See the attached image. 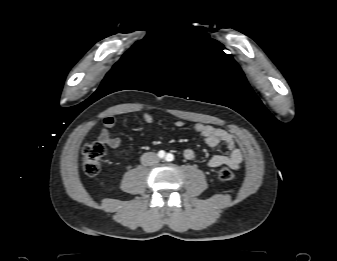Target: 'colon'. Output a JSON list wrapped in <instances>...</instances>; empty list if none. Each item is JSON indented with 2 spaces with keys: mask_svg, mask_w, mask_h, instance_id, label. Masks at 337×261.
Returning <instances> with one entry per match:
<instances>
[{
  "mask_svg": "<svg viewBox=\"0 0 337 261\" xmlns=\"http://www.w3.org/2000/svg\"><path fill=\"white\" fill-rule=\"evenodd\" d=\"M106 154V147L102 141H95L84 146L82 151L83 170L88 176H95L101 169L102 159ZM218 178L222 181L233 179V171L227 167L218 170Z\"/></svg>",
  "mask_w": 337,
  "mask_h": 261,
  "instance_id": "1",
  "label": "colon"
}]
</instances>
